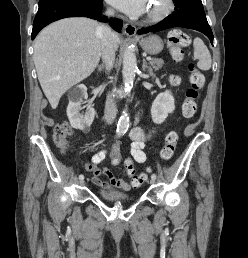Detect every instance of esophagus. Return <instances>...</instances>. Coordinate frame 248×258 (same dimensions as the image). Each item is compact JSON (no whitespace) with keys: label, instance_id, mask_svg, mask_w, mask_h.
Returning a JSON list of instances; mask_svg holds the SVG:
<instances>
[{"label":"esophagus","instance_id":"1","mask_svg":"<svg viewBox=\"0 0 248 258\" xmlns=\"http://www.w3.org/2000/svg\"><path fill=\"white\" fill-rule=\"evenodd\" d=\"M124 32L128 36H134L137 32V28L135 25L131 23H125L124 24Z\"/></svg>","mask_w":248,"mask_h":258}]
</instances>
